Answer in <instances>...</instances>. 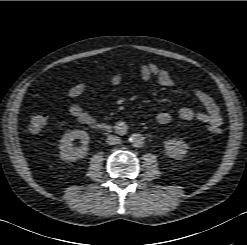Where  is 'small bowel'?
<instances>
[{
	"mask_svg": "<svg viewBox=\"0 0 247 245\" xmlns=\"http://www.w3.org/2000/svg\"><path fill=\"white\" fill-rule=\"evenodd\" d=\"M140 77L143 81L154 79L162 87H172L174 85L170 73L155 63L143 64L140 67ZM122 78V74L117 73L109 77L106 82L110 86H117L122 82ZM86 88L85 83H79L69 89L68 97L77 98L86 91ZM194 95L201 103L203 110L197 111L190 107H182L178 110V117L184 121L197 120L210 127H220L222 124V116L214 98L201 89H194ZM68 113L79 123L84 125L92 126L96 122L95 117L85 111L79 104L73 103L69 105ZM171 119V115L165 111L159 112L156 115V121L161 125L168 124Z\"/></svg>",
	"mask_w": 247,
	"mask_h": 245,
	"instance_id": "small-bowel-1",
	"label": "small bowel"
}]
</instances>
